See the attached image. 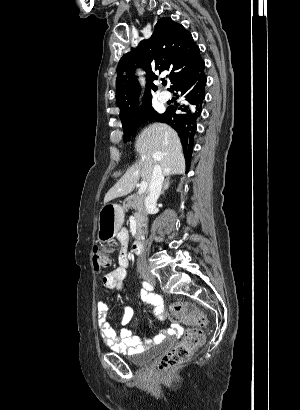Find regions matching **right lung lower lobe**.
<instances>
[{
	"label": "right lung lower lobe",
	"instance_id": "1",
	"mask_svg": "<svg viewBox=\"0 0 300 410\" xmlns=\"http://www.w3.org/2000/svg\"><path fill=\"white\" fill-rule=\"evenodd\" d=\"M205 64L200 57L195 64L176 79L171 86V91L177 98L183 99L182 104L171 105L163 114H158L157 121L164 122L173 127L179 134L184 148L194 146V136L197 129V120L201 115L205 98L206 76ZM185 155V152H184ZM189 165L191 156L185 155Z\"/></svg>",
	"mask_w": 300,
	"mask_h": 410
}]
</instances>
